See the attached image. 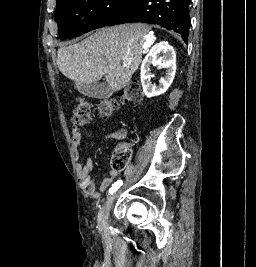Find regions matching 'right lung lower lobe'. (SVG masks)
Returning a JSON list of instances; mask_svg holds the SVG:
<instances>
[{
  "instance_id": "obj_1",
  "label": "right lung lower lobe",
  "mask_w": 256,
  "mask_h": 267,
  "mask_svg": "<svg viewBox=\"0 0 256 267\" xmlns=\"http://www.w3.org/2000/svg\"><path fill=\"white\" fill-rule=\"evenodd\" d=\"M190 2L191 0H137L129 12L116 16L104 26L131 22L158 24L181 34L187 43Z\"/></svg>"
}]
</instances>
